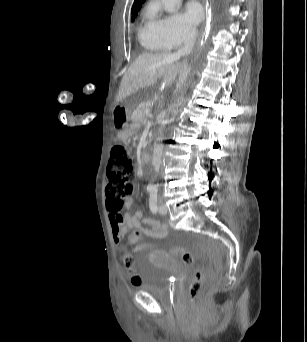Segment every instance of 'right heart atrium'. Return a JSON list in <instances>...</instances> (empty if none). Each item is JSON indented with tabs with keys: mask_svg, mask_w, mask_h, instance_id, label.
Here are the masks:
<instances>
[{
	"mask_svg": "<svg viewBox=\"0 0 307 342\" xmlns=\"http://www.w3.org/2000/svg\"><path fill=\"white\" fill-rule=\"evenodd\" d=\"M189 34V29L177 16H164L155 19L154 29L148 35L161 40L166 46L178 47L182 39Z\"/></svg>",
	"mask_w": 307,
	"mask_h": 342,
	"instance_id": "d8ad5b80",
	"label": "right heart atrium"
}]
</instances>
